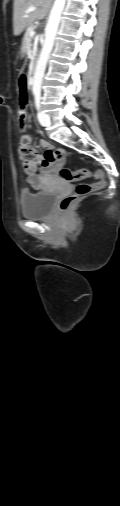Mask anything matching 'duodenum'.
Here are the masks:
<instances>
[{"label":"duodenum","instance_id":"duodenum-1","mask_svg":"<svg viewBox=\"0 0 120 506\" xmlns=\"http://www.w3.org/2000/svg\"><path fill=\"white\" fill-rule=\"evenodd\" d=\"M37 66H38V59L35 58L34 63H33V75H35V73H36Z\"/></svg>","mask_w":120,"mask_h":506}]
</instances>
